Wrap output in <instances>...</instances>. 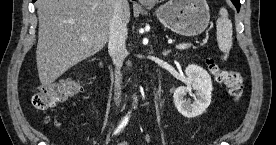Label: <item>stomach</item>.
Listing matches in <instances>:
<instances>
[{
	"instance_id": "1",
	"label": "stomach",
	"mask_w": 276,
	"mask_h": 145,
	"mask_svg": "<svg viewBox=\"0 0 276 145\" xmlns=\"http://www.w3.org/2000/svg\"><path fill=\"white\" fill-rule=\"evenodd\" d=\"M155 13L165 27L183 36L201 34L210 21L209 6L205 0H169Z\"/></svg>"
}]
</instances>
